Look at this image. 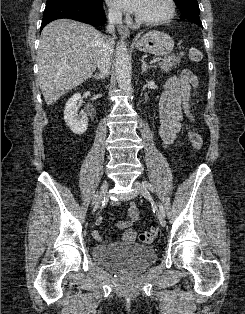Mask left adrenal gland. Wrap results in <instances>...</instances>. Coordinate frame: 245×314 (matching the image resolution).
<instances>
[{"label": "left adrenal gland", "mask_w": 245, "mask_h": 314, "mask_svg": "<svg viewBox=\"0 0 245 314\" xmlns=\"http://www.w3.org/2000/svg\"><path fill=\"white\" fill-rule=\"evenodd\" d=\"M153 66L152 65H148L147 63H145V60L144 58L141 59V71H142V75H144V73L152 68Z\"/></svg>", "instance_id": "a2214340"}]
</instances>
